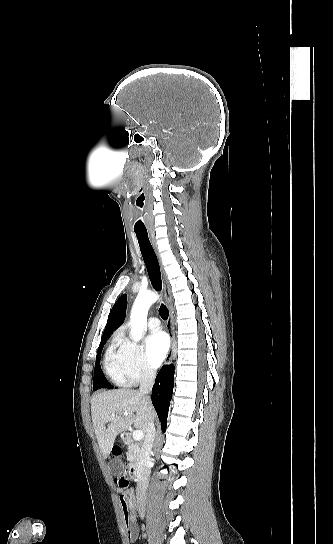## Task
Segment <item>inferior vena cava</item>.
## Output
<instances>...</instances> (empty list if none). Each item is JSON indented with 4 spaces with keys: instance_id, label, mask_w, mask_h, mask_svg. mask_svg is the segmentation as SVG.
Returning <instances> with one entry per match:
<instances>
[{
    "instance_id": "obj_1",
    "label": "inferior vena cava",
    "mask_w": 333,
    "mask_h": 544,
    "mask_svg": "<svg viewBox=\"0 0 333 544\" xmlns=\"http://www.w3.org/2000/svg\"><path fill=\"white\" fill-rule=\"evenodd\" d=\"M155 376L156 372L152 368L145 367L143 369L139 388V393L141 395H147L151 392L155 381ZM154 439L155 425L154 420L150 419L146 429L145 440L142 444L138 457L136 498L139 515L141 517L144 516L146 510V496L150 477L151 450Z\"/></svg>"
}]
</instances>
